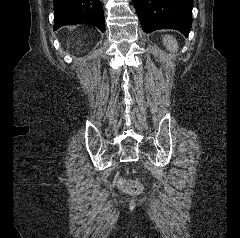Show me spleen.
<instances>
[{"label": "spleen", "instance_id": "spleen-1", "mask_svg": "<svg viewBox=\"0 0 240 238\" xmlns=\"http://www.w3.org/2000/svg\"><path fill=\"white\" fill-rule=\"evenodd\" d=\"M163 43L164 45H166V48L171 52H174L178 49V43L173 36H165L163 38Z\"/></svg>", "mask_w": 240, "mask_h": 238}]
</instances>
